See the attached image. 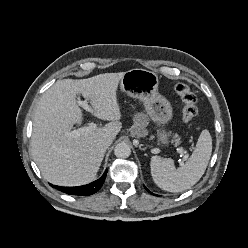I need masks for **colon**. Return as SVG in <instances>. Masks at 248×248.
Wrapping results in <instances>:
<instances>
[{
	"label": "colon",
	"mask_w": 248,
	"mask_h": 248,
	"mask_svg": "<svg viewBox=\"0 0 248 248\" xmlns=\"http://www.w3.org/2000/svg\"><path fill=\"white\" fill-rule=\"evenodd\" d=\"M175 92L184 104L182 111L183 121L186 123L193 121L198 113L196 95L185 83L176 84Z\"/></svg>",
	"instance_id": "1"
}]
</instances>
